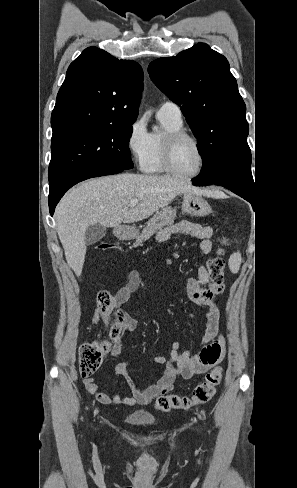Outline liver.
I'll return each instance as SVG.
<instances>
[{"label":"liver","instance_id":"1","mask_svg":"<svg viewBox=\"0 0 297 488\" xmlns=\"http://www.w3.org/2000/svg\"><path fill=\"white\" fill-rule=\"evenodd\" d=\"M209 194L170 176L123 173L91 179L69 190L55 210L57 233L66 261L77 276L82 273L86 229L94 224L118 228L148 218L179 194ZM139 204L129 207L132 199Z\"/></svg>","mask_w":297,"mask_h":488}]
</instances>
